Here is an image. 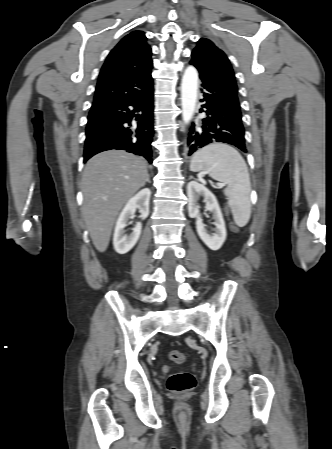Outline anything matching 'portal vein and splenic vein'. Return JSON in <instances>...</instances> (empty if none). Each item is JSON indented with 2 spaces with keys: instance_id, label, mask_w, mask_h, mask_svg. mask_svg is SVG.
I'll use <instances>...</instances> for the list:
<instances>
[{
  "instance_id": "18ae733b",
  "label": "portal vein and splenic vein",
  "mask_w": 332,
  "mask_h": 449,
  "mask_svg": "<svg viewBox=\"0 0 332 449\" xmlns=\"http://www.w3.org/2000/svg\"><path fill=\"white\" fill-rule=\"evenodd\" d=\"M217 186H219V187H221V188H222V187H224V186H225V184H223V183H218V184H217Z\"/></svg>"
}]
</instances>
